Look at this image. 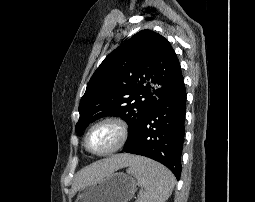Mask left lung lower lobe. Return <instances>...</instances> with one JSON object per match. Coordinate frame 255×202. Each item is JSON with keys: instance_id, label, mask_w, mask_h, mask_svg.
I'll return each instance as SVG.
<instances>
[{"instance_id": "1", "label": "left lung lower lobe", "mask_w": 255, "mask_h": 202, "mask_svg": "<svg viewBox=\"0 0 255 202\" xmlns=\"http://www.w3.org/2000/svg\"><path fill=\"white\" fill-rule=\"evenodd\" d=\"M185 113L186 90L182 82L158 100L122 152L154 159L168 167L179 180Z\"/></svg>"}]
</instances>
